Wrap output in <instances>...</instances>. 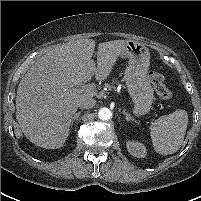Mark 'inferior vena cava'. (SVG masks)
I'll return each instance as SVG.
<instances>
[{
  "label": "inferior vena cava",
  "mask_w": 201,
  "mask_h": 201,
  "mask_svg": "<svg viewBox=\"0 0 201 201\" xmlns=\"http://www.w3.org/2000/svg\"><path fill=\"white\" fill-rule=\"evenodd\" d=\"M96 104V101L94 98L92 97H83L80 99L79 103H78V106L81 108V109H89V108H92L94 107Z\"/></svg>",
  "instance_id": "inferior-vena-cava-1"
}]
</instances>
